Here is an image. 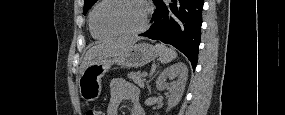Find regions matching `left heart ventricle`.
<instances>
[{"mask_svg":"<svg viewBox=\"0 0 285 115\" xmlns=\"http://www.w3.org/2000/svg\"><path fill=\"white\" fill-rule=\"evenodd\" d=\"M96 20L103 28L131 32L142 26L143 8L135 1H109L100 7Z\"/></svg>","mask_w":285,"mask_h":115,"instance_id":"left-heart-ventricle-1","label":"left heart ventricle"}]
</instances>
